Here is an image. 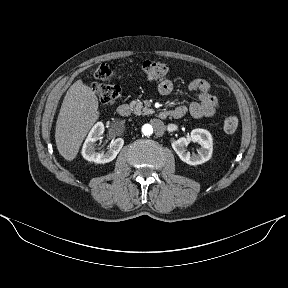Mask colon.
<instances>
[{
	"instance_id": "5ec220e1",
	"label": "colon",
	"mask_w": 288,
	"mask_h": 288,
	"mask_svg": "<svg viewBox=\"0 0 288 288\" xmlns=\"http://www.w3.org/2000/svg\"><path fill=\"white\" fill-rule=\"evenodd\" d=\"M139 70L143 77L156 81L163 80L168 73V67L164 63L156 61H145ZM95 77L100 81H110L113 77V71L108 65L102 64L97 68ZM91 89L105 104L114 103L120 95V88L112 84L93 82ZM237 127L238 119L236 116L230 115L224 118L223 129L226 133H234Z\"/></svg>"
}]
</instances>
